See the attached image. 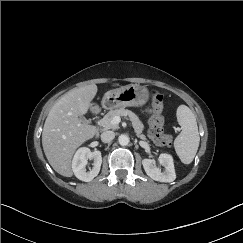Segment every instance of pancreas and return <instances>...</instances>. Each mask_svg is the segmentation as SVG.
<instances>
[{
	"instance_id": "pancreas-1",
	"label": "pancreas",
	"mask_w": 243,
	"mask_h": 243,
	"mask_svg": "<svg viewBox=\"0 0 243 243\" xmlns=\"http://www.w3.org/2000/svg\"><path fill=\"white\" fill-rule=\"evenodd\" d=\"M115 116H127L130 121L132 122V126L134 128V131L137 135L142 140H146V136L142 134L144 130V125L139 119V117L133 113L132 111L125 109V108H119L115 110L109 111L102 119H101V126L104 129H117L118 125L112 124V119Z\"/></svg>"
}]
</instances>
